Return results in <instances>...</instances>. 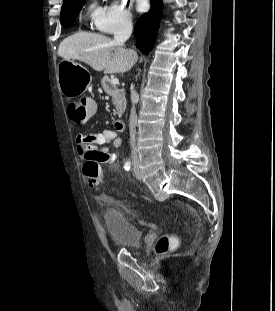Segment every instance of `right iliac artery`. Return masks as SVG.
Segmentation results:
<instances>
[{"instance_id": "obj_1", "label": "right iliac artery", "mask_w": 275, "mask_h": 311, "mask_svg": "<svg viewBox=\"0 0 275 311\" xmlns=\"http://www.w3.org/2000/svg\"><path fill=\"white\" fill-rule=\"evenodd\" d=\"M125 170L129 171L131 169V161L128 160L124 165Z\"/></svg>"}]
</instances>
